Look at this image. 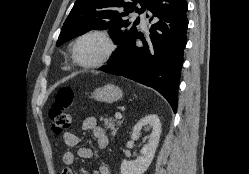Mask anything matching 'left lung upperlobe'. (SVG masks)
<instances>
[{"label": "left lung upper lobe", "instance_id": "1", "mask_svg": "<svg viewBox=\"0 0 249 174\" xmlns=\"http://www.w3.org/2000/svg\"><path fill=\"white\" fill-rule=\"evenodd\" d=\"M150 0H76L69 16L64 22L56 46L82 35L89 30L109 29L111 38L118 45L109 64L116 62L124 47L137 35L136 25L139 18L132 23L123 18L136 11L142 13ZM140 5L139 9L136 7Z\"/></svg>", "mask_w": 249, "mask_h": 174}]
</instances>
